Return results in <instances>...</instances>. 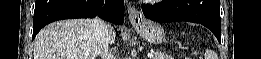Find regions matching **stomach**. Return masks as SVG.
<instances>
[{
    "instance_id": "obj_1",
    "label": "stomach",
    "mask_w": 261,
    "mask_h": 59,
    "mask_svg": "<svg viewBox=\"0 0 261 59\" xmlns=\"http://www.w3.org/2000/svg\"><path fill=\"white\" fill-rule=\"evenodd\" d=\"M138 34L148 43L160 44L165 40L163 27L153 21L144 20L134 25Z\"/></svg>"
}]
</instances>
